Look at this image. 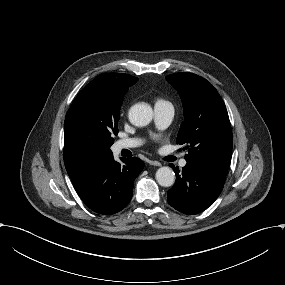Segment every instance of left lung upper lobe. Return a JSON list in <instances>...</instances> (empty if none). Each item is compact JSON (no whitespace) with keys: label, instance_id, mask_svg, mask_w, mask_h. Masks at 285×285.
Masks as SVG:
<instances>
[{"label":"left lung upper lobe","instance_id":"5c2ea615","mask_svg":"<svg viewBox=\"0 0 285 285\" xmlns=\"http://www.w3.org/2000/svg\"><path fill=\"white\" fill-rule=\"evenodd\" d=\"M166 80L178 91L183 103L185 119L177 143L188 150L186 161L227 173L233 137L225 104L217 90L193 73H175Z\"/></svg>","mask_w":285,"mask_h":285}]
</instances>
